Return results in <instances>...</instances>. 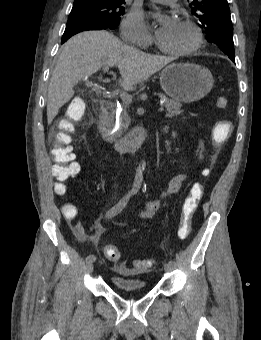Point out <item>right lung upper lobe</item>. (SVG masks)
I'll return each instance as SVG.
<instances>
[{"label":"right lung upper lobe","instance_id":"right-lung-upper-lobe-1","mask_svg":"<svg viewBox=\"0 0 261 340\" xmlns=\"http://www.w3.org/2000/svg\"><path fill=\"white\" fill-rule=\"evenodd\" d=\"M80 1H125V0H74V2H80Z\"/></svg>","mask_w":261,"mask_h":340}]
</instances>
